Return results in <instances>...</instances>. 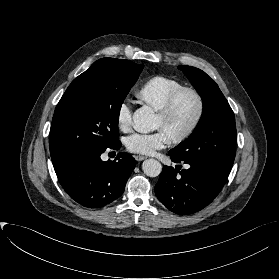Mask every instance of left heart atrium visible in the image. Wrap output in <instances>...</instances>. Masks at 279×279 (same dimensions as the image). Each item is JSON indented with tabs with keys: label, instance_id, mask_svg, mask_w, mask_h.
I'll list each match as a JSON object with an SVG mask.
<instances>
[{
	"label": "left heart atrium",
	"instance_id": "left-heart-atrium-1",
	"mask_svg": "<svg viewBox=\"0 0 279 279\" xmlns=\"http://www.w3.org/2000/svg\"><path fill=\"white\" fill-rule=\"evenodd\" d=\"M169 138L163 131L153 133H134L125 140L128 151L140 155H152L165 147Z\"/></svg>",
	"mask_w": 279,
	"mask_h": 279
}]
</instances>
